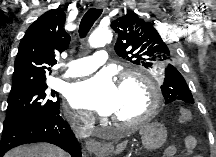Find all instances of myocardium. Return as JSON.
<instances>
[{"mask_svg": "<svg viewBox=\"0 0 216 157\" xmlns=\"http://www.w3.org/2000/svg\"><path fill=\"white\" fill-rule=\"evenodd\" d=\"M120 85L122 86L124 83L128 81H137L144 85L148 91V107L143 115L138 117L137 119L130 120V121H124L117 118H112V120L120 125L128 126V127H137L140 126L148 121H150L154 115L157 113L161 102L162 97L159 93L158 88L156 87L153 80L147 76L145 73H143L140 70H128L125 71L120 78Z\"/></svg>", "mask_w": 216, "mask_h": 157, "instance_id": "1", "label": "myocardium"}]
</instances>
